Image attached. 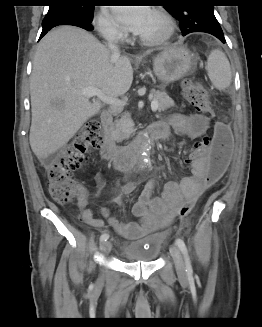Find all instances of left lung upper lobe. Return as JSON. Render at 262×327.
Masks as SVG:
<instances>
[{"label": "left lung upper lobe", "mask_w": 262, "mask_h": 327, "mask_svg": "<svg viewBox=\"0 0 262 327\" xmlns=\"http://www.w3.org/2000/svg\"><path fill=\"white\" fill-rule=\"evenodd\" d=\"M191 0H169L165 9L179 21L183 36L193 32H205L223 36L219 22L214 16V6L208 4L194 5ZM204 2V1H203Z\"/></svg>", "instance_id": "1"}]
</instances>
